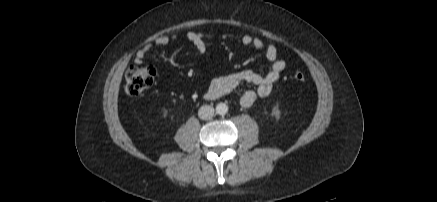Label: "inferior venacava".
<instances>
[{
  "label": "inferior vena cava",
  "instance_id": "1",
  "mask_svg": "<svg viewBox=\"0 0 437 202\" xmlns=\"http://www.w3.org/2000/svg\"><path fill=\"white\" fill-rule=\"evenodd\" d=\"M214 115V108L209 105H203L198 111V116L202 120L211 119Z\"/></svg>",
  "mask_w": 437,
  "mask_h": 202
}]
</instances>
